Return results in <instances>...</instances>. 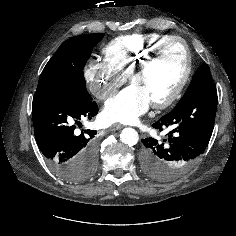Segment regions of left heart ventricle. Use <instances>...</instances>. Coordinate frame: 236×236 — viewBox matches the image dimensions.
<instances>
[{"mask_svg": "<svg viewBox=\"0 0 236 236\" xmlns=\"http://www.w3.org/2000/svg\"><path fill=\"white\" fill-rule=\"evenodd\" d=\"M184 69V49L176 43L167 47L149 69L134 78L133 83L143 88L151 102L158 101L171 93Z\"/></svg>", "mask_w": 236, "mask_h": 236, "instance_id": "1", "label": "left heart ventricle"}]
</instances>
